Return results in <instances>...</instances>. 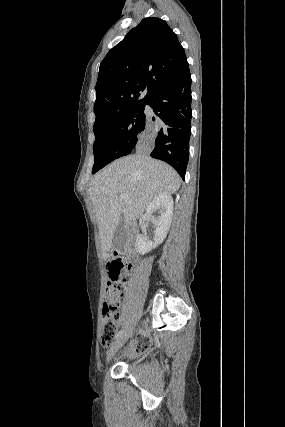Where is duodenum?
Here are the masks:
<instances>
[{
	"instance_id": "410a0bca",
	"label": "duodenum",
	"mask_w": 285,
	"mask_h": 427,
	"mask_svg": "<svg viewBox=\"0 0 285 427\" xmlns=\"http://www.w3.org/2000/svg\"><path fill=\"white\" fill-rule=\"evenodd\" d=\"M131 251H132V249H131V247H129V248H127L124 252H122V254H123L125 257H128V256L131 254Z\"/></svg>"
}]
</instances>
